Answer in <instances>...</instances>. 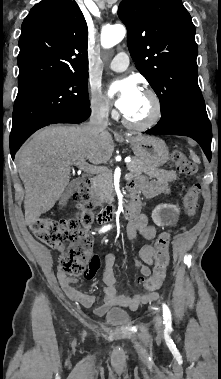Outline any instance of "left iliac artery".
Masks as SVG:
<instances>
[{
  "label": "left iliac artery",
  "instance_id": "44dca946",
  "mask_svg": "<svg viewBox=\"0 0 221 379\" xmlns=\"http://www.w3.org/2000/svg\"><path fill=\"white\" fill-rule=\"evenodd\" d=\"M162 309H163L164 324L166 325V327H169L172 322L170 309L165 303H163Z\"/></svg>",
  "mask_w": 221,
  "mask_h": 379
}]
</instances>
